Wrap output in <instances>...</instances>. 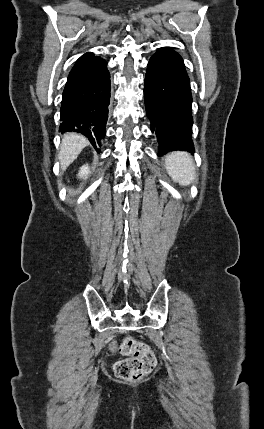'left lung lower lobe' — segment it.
Here are the masks:
<instances>
[{"label": "left lung lower lobe", "instance_id": "left-lung-lower-lobe-1", "mask_svg": "<svg viewBox=\"0 0 264 429\" xmlns=\"http://www.w3.org/2000/svg\"><path fill=\"white\" fill-rule=\"evenodd\" d=\"M144 100L151 130L158 138V155L193 152L190 81L183 59L170 47L160 48L148 63Z\"/></svg>", "mask_w": 264, "mask_h": 429}]
</instances>
